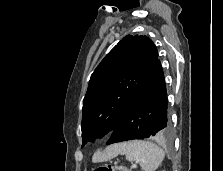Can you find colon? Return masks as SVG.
Segmentation results:
<instances>
[{
	"instance_id": "colon-1",
	"label": "colon",
	"mask_w": 223,
	"mask_h": 171,
	"mask_svg": "<svg viewBox=\"0 0 223 171\" xmlns=\"http://www.w3.org/2000/svg\"><path fill=\"white\" fill-rule=\"evenodd\" d=\"M94 171H129V170L126 167L119 165H103L96 168Z\"/></svg>"
}]
</instances>
